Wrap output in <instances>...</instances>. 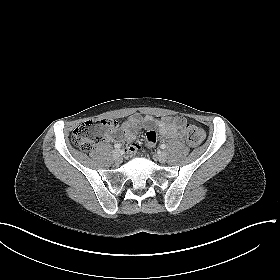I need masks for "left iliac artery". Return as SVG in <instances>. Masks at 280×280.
<instances>
[{
    "instance_id": "left-iliac-artery-1",
    "label": "left iliac artery",
    "mask_w": 280,
    "mask_h": 280,
    "mask_svg": "<svg viewBox=\"0 0 280 280\" xmlns=\"http://www.w3.org/2000/svg\"><path fill=\"white\" fill-rule=\"evenodd\" d=\"M160 148H161V149H165V148H166V145H165V144H161V145H160Z\"/></svg>"
}]
</instances>
